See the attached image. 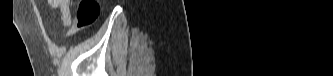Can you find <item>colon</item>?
<instances>
[{
  "label": "colon",
  "instance_id": "1",
  "mask_svg": "<svg viewBox=\"0 0 333 76\" xmlns=\"http://www.w3.org/2000/svg\"><path fill=\"white\" fill-rule=\"evenodd\" d=\"M99 12L100 7L97 1L81 0L78 5L75 27L70 34L93 25L99 16Z\"/></svg>",
  "mask_w": 333,
  "mask_h": 76
}]
</instances>
